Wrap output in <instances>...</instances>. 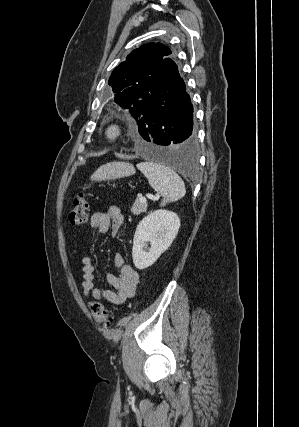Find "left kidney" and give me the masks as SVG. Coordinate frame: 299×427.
<instances>
[{
  "label": "left kidney",
  "instance_id": "5707ae66",
  "mask_svg": "<svg viewBox=\"0 0 299 427\" xmlns=\"http://www.w3.org/2000/svg\"><path fill=\"white\" fill-rule=\"evenodd\" d=\"M179 227L178 215L168 210H155L143 218L133 239L132 257L135 267L141 270L153 265L170 247Z\"/></svg>",
  "mask_w": 299,
  "mask_h": 427
}]
</instances>
